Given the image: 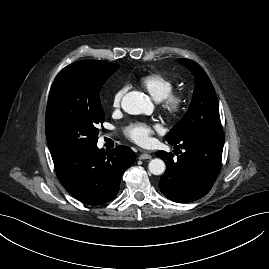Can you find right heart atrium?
Listing matches in <instances>:
<instances>
[{"instance_id":"1","label":"right heart atrium","mask_w":269,"mask_h":269,"mask_svg":"<svg viewBox=\"0 0 269 269\" xmlns=\"http://www.w3.org/2000/svg\"><path fill=\"white\" fill-rule=\"evenodd\" d=\"M128 87L126 85H123L121 87H119L112 95L111 97V107L114 109H117L120 107L122 99L125 95V93L127 92Z\"/></svg>"}]
</instances>
